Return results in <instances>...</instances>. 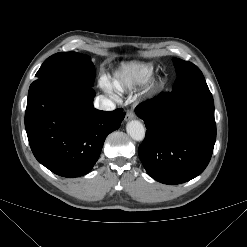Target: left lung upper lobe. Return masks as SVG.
<instances>
[{
  "instance_id": "1",
  "label": "left lung upper lobe",
  "mask_w": 247,
  "mask_h": 247,
  "mask_svg": "<svg viewBox=\"0 0 247 247\" xmlns=\"http://www.w3.org/2000/svg\"><path fill=\"white\" fill-rule=\"evenodd\" d=\"M177 78L172 88L173 93L193 89L208 88L200 69L191 62L173 58Z\"/></svg>"
}]
</instances>
